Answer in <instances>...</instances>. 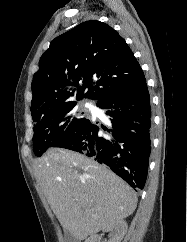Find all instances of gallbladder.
<instances>
[{
    "mask_svg": "<svg viewBox=\"0 0 187 242\" xmlns=\"http://www.w3.org/2000/svg\"><path fill=\"white\" fill-rule=\"evenodd\" d=\"M65 242H79L75 237H73L68 231H66Z\"/></svg>",
    "mask_w": 187,
    "mask_h": 242,
    "instance_id": "obj_1",
    "label": "gallbladder"
}]
</instances>
